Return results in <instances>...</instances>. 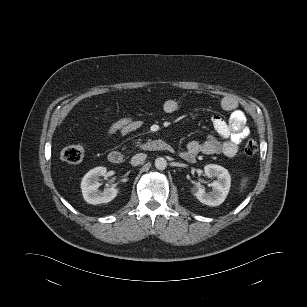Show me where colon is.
I'll list each match as a JSON object with an SVG mask.
<instances>
[{
	"mask_svg": "<svg viewBox=\"0 0 307 307\" xmlns=\"http://www.w3.org/2000/svg\"><path fill=\"white\" fill-rule=\"evenodd\" d=\"M258 151V144L255 140L250 139L245 143L244 153L247 156H253ZM84 150L79 145H70L61 151V159L69 164H78L82 161Z\"/></svg>",
	"mask_w": 307,
	"mask_h": 307,
	"instance_id": "obj_1",
	"label": "colon"
}]
</instances>
